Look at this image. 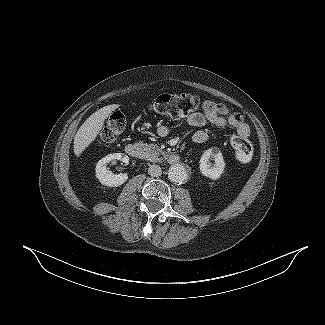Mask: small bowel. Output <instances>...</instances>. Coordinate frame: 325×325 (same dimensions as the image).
<instances>
[{
    "label": "small bowel",
    "instance_id": "1",
    "mask_svg": "<svg viewBox=\"0 0 325 325\" xmlns=\"http://www.w3.org/2000/svg\"><path fill=\"white\" fill-rule=\"evenodd\" d=\"M187 123L196 128H202L206 124H213L218 127H230L236 131V135L243 139L250 136V128L245 123L243 116L238 112H233L223 103H216L211 100H205L202 105V112L191 114L187 118ZM159 136L165 137L169 133V129L165 125H161L157 130ZM208 139V134L203 129L196 130L192 135L195 143H204Z\"/></svg>",
    "mask_w": 325,
    "mask_h": 325
}]
</instances>
